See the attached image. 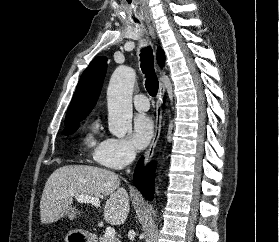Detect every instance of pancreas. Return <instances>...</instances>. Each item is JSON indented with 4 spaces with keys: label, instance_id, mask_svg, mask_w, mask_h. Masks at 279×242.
<instances>
[{
    "label": "pancreas",
    "instance_id": "pancreas-1",
    "mask_svg": "<svg viewBox=\"0 0 279 242\" xmlns=\"http://www.w3.org/2000/svg\"><path fill=\"white\" fill-rule=\"evenodd\" d=\"M99 242H120L118 238H108L106 235L100 237Z\"/></svg>",
    "mask_w": 279,
    "mask_h": 242
}]
</instances>
